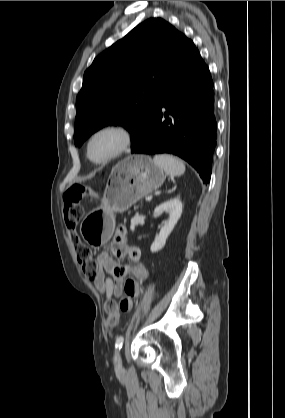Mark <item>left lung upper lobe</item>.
<instances>
[{"label": "left lung upper lobe", "instance_id": "1", "mask_svg": "<svg viewBox=\"0 0 285 418\" xmlns=\"http://www.w3.org/2000/svg\"><path fill=\"white\" fill-rule=\"evenodd\" d=\"M184 37L165 20L150 18L98 55L76 99L75 146L106 125L123 126L136 145Z\"/></svg>", "mask_w": 285, "mask_h": 418}]
</instances>
